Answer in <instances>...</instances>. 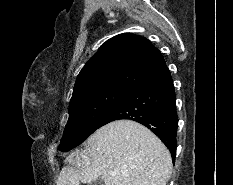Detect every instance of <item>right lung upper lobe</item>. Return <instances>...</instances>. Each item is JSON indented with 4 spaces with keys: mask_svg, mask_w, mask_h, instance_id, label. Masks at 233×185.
I'll use <instances>...</instances> for the list:
<instances>
[{
    "mask_svg": "<svg viewBox=\"0 0 233 185\" xmlns=\"http://www.w3.org/2000/svg\"><path fill=\"white\" fill-rule=\"evenodd\" d=\"M166 67L164 58L149 40L131 33L120 34L106 41L85 64L72 98L107 87L131 90Z\"/></svg>",
    "mask_w": 233,
    "mask_h": 185,
    "instance_id": "cb5924a9",
    "label": "right lung upper lobe"
}]
</instances>
